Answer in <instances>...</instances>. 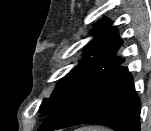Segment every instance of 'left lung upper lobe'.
<instances>
[{
    "label": "left lung upper lobe",
    "mask_w": 151,
    "mask_h": 131,
    "mask_svg": "<svg viewBox=\"0 0 151 131\" xmlns=\"http://www.w3.org/2000/svg\"><path fill=\"white\" fill-rule=\"evenodd\" d=\"M110 25V20L99 21V28L95 27L97 33L95 39L86 46L84 60L60 80L49 98L43 100L39 110L42 115L48 116L53 112L73 84L89 69L93 67L111 69L123 63L122 59H114L123 42L119 39L116 29Z\"/></svg>",
    "instance_id": "5c2ea615"
}]
</instances>
